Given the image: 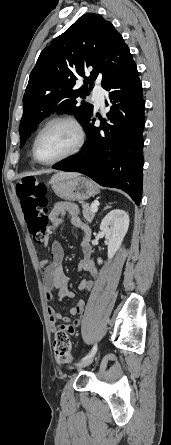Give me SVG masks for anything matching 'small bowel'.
Masks as SVG:
<instances>
[{"instance_id": "1", "label": "small bowel", "mask_w": 171, "mask_h": 445, "mask_svg": "<svg viewBox=\"0 0 171 445\" xmlns=\"http://www.w3.org/2000/svg\"><path fill=\"white\" fill-rule=\"evenodd\" d=\"M65 212L70 213L72 221L76 223L82 231L81 248L84 257L79 266V270L88 272L92 276V279H83L80 282L79 290L91 292L96 283L98 273L92 258L89 229L79 222L78 208L74 204L67 202H58L54 205L51 218L54 227H57L62 223V216ZM64 254V249L61 243L59 241H53L50 248V256L41 260L39 263L43 270L42 282L47 300L55 298L58 301H62L65 298L76 297V295L68 289V277L62 264ZM84 310L85 302L83 299H79L71 308L70 314L72 316H78L81 315ZM47 312L49 323L54 333L57 330H64L69 334H75L77 328L81 324L80 319L71 322L70 317L61 315L52 306L47 308Z\"/></svg>"}]
</instances>
